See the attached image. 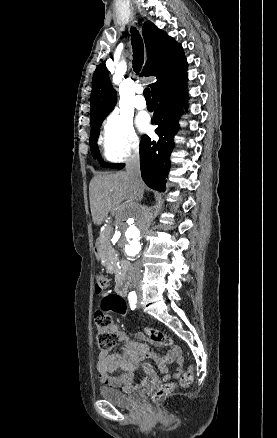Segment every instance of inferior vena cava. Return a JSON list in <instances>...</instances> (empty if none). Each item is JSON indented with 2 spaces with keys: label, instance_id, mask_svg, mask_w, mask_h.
Wrapping results in <instances>:
<instances>
[{
  "label": "inferior vena cava",
  "instance_id": "obj_1",
  "mask_svg": "<svg viewBox=\"0 0 277 438\" xmlns=\"http://www.w3.org/2000/svg\"><path fill=\"white\" fill-rule=\"evenodd\" d=\"M126 172L128 176V182L133 188V190H141V186H143V182L141 180V172H140V156L138 152H133L132 156H128L126 158ZM141 278V264L140 262H135L134 264V272L132 274V282L134 288H138L139 282Z\"/></svg>",
  "mask_w": 277,
  "mask_h": 438
}]
</instances>
